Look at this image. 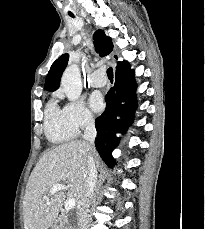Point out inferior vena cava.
Returning a JSON list of instances; mask_svg holds the SVG:
<instances>
[{"instance_id":"602c4592","label":"inferior vena cava","mask_w":205,"mask_h":229,"mask_svg":"<svg viewBox=\"0 0 205 229\" xmlns=\"http://www.w3.org/2000/svg\"><path fill=\"white\" fill-rule=\"evenodd\" d=\"M96 136H97V132L95 128L94 118L93 116L88 115L86 117V124H85V131H84L83 138L90 143L91 150H94L93 145ZM96 182H97L96 165L92 153H90L87 161L84 191L78 203L79 229H88V223H89L88 208L90 207L94 196Z\"/></svg>"}]
</instances>
